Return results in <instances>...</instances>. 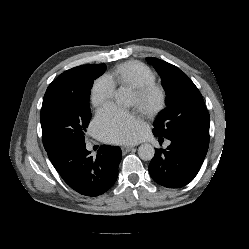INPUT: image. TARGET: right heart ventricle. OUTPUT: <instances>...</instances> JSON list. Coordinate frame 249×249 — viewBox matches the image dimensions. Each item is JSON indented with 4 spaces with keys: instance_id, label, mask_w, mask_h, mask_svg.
Instances as JSON below:
<instances>
[{
    "instance_id": "right-heart-ventricle-1",
    "label": "right heart ventricle",
    "mask_w": 249,
    "mask_h": 249,
    "mask_svg": "<svg viewBox=\"0 0 249 249\" xmlns=\"http://www.w3.org/2000/svg\"><path fill=\"white\" fill-rule=\"evenodd\" d=\"M108 76L116 85L128 86L132 89L156 80L153 71L138 61L122 63L114 68Z\"/></svg>"
}]
</instances>
